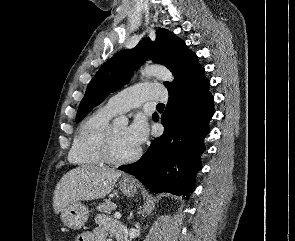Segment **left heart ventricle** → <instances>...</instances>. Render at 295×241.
Returning a JSON list of instances; mask_svg holds the SVG:
<instances>
[{
  "mask_svg": "<svg viewBox=\"0 0 295 241\" xmlns=\"http://www.w3.org/2000/svg\"><path fill=\"white\" fill-rule=\"evenodd\" d=\"M136 147L127 136L126 124H114L113 152L117 157H128L137 151Z\"/></svg>",
  "mask_w": 295,
  "mask_h": 241,
  "instance_id": "left-heart-ventricle-1",
  "label": "left heart ventricle"
}]
</instances>
